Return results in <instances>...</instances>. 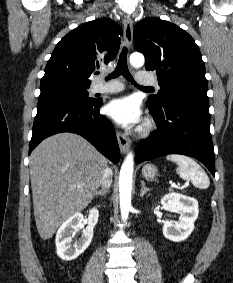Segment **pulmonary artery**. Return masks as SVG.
Returning <instances> with one entry per match:
<instances>
[{
  "label": "pulmonary artery",
  "mask_w": 233,
  "mask_h": 283,
  "mask_svg": "<svg viewBox=\"0 0 233 283\" xmlns=\"http://www.w3.org/2000/svg\"><path fill=\"white\" fill-rule=\"evenodd\" d=\"M136 80L137 83L140 86H156L158 87V83L157 81L145 74V73H138L136 76ZM123 90V85L118 82V81H111L109 83L103 84V83H98L96 85H94L93 87V91L97 92V93H116V92H120Z\"/></svg>",
  "instance_id": "1"
}]
</instances>
